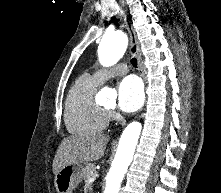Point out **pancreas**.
<instances>
[{
    "instance_id": "1",
    "label": "pancreas",
    "mask_w": 221,
    "mask_h": 193,
    "mask_svg": "<svg viewBox=\"0 0 221 193\" xmlns=\"http://www.w3.org/2000/svg\"><path fill=\"white\" fill-rule=\"evenodd\" d=\"M96 173L95 164L90 163L85 166L83 169V179L87 183L92 178V176Z\"/></svg>"
}]
</instances>
